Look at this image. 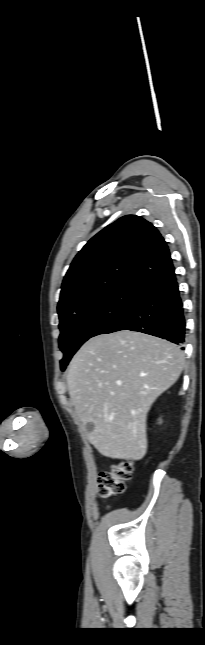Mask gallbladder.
<instances>
[{
	"instance_id": "obj_1",
	"label": "gallbladder",
	"mask_w": 205,
	"mask_h": 645,
	"mask_svg": "<svg viewBox=\"0 0 205 645\" xmlns=\"http://www.w3.org/2000/svg\"><path fill=\"white\" fill-rule=\"evenodd\" d=\"M93 430H94V424H93V423H87V424L85 425V431H86L87 433H90V432H92Z\"/></svg>"
}]
</instances>
